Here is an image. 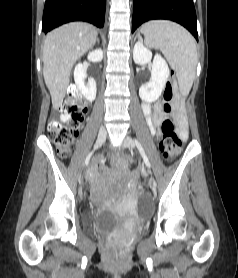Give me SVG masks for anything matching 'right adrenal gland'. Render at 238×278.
I'll use <instances>...</instances> for the list:
<instances>
[{"instance_id": "2a0ac1e0", "label": "right adrenal gland", "mask_w": 238, "mask_h": 278, "mask_svg": "<svg viewBox=\"0 0 238 278\" xmlns=\"http://www.w3.org/2000/svg\"><path fill=\"white\" fill-rule=\"evenodd\" d=\"M97 42L99 43V39L97 38Z\"/></svg>"}]
</instances>
